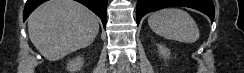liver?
Masks as SVG:
<instances>
[{
	"label": "liver",
	"instance_id": "6515ba94",
	"mask_svg": "<svg viewBox=\"0 0 244 73\" xmlns=\"http://www.w3.org/2000/svg\"><path fill=\"white\" fill-rule=\"evenodd\" d=\"M29 37L49 61L89 46L99 32V19L73 0H50L28 18Z\"/></svg>",
	"mask_w": 244,
	"mask_h": 73
}]
</instances>
